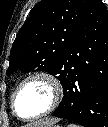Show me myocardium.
Here are the masks:
<instances>
[{
  "label": "myocardium",
  "mask_w": 108,
  "mask_h": 127,
  "mask_svg": "<svg viewBox=\"0 0 108 127\" xmlns=\"http://www.w3.org/2000/svg\"><path fill=\"white\" fill-rule=\"evenodd\" d=\"M36 80L44 82L49 87L50 92H51L50 104L43 112H41L35 116L23 117L17 112L16 105H15L16 96H17L18 92L27 83H29L31 81H36ZM61 99H62V86H61V83L59 82V80L49 72L37 71V72L27 75L18 83V85L14 89L12 96H11V108H12L13 113L19 119L24 120V121H33V120L40 119V118L50 114L51 112H53L58 107Z\"/></svg>",
  "instance_id": "myocardium-1"
}]
</instances>
